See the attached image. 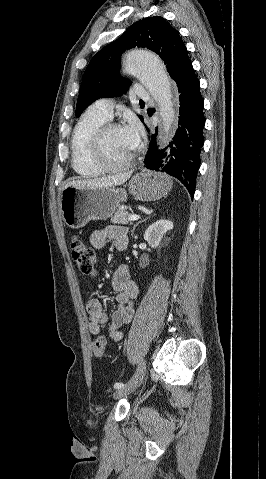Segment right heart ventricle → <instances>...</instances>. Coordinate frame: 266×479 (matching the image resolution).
I'll use <instances>...</instances> for the list:
<instances>
[{
    "label": "right heart ventricle",
    "instance_id": "right-heart-ventricle-1",
    "mask_svg": "<svg viewBox=\"0 0 266 479\" xmlns=\"http://www.w3.org/2000/svg\"><path fill=\"white\" fill-rule=\"evenodd\" d=\"M108 120L88 110L77 123L71 140L72 167L82 177H97L104 172L90 158L94 132Z\"/></svg>",
    "mask_w": 266,
    "mask_h": 479
}]
</instances>
